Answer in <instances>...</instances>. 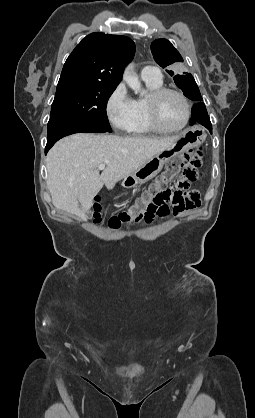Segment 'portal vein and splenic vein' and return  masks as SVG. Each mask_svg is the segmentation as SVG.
Returning a JSON list of instances; mask_svg holds the SVG:
<instances>
[{
	"label": "portal vein and splenic vein",
	"mask_w": 255,
	"mask_h": 418,
	"mask_svg": "<svg viewBox=\"0 0 255 418\" xmlns=\"http://www.w3.org/2000/svg\"><path fill=\"white\" fill-rule=\"evenodd\" d=\"M98 170H103V169H105V164H100V165H98Z\"/></svg>",
	"instance_id": "obj_1"
}]
</instances>
